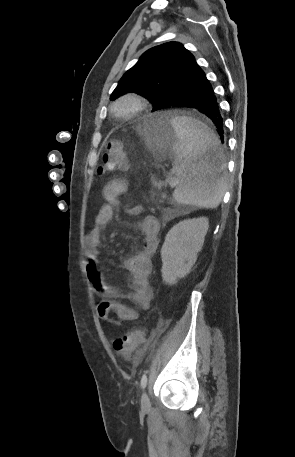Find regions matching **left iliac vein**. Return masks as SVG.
<instances>
[{
	"instance_id": "obj_1",
	"label": "left iliac vein",
	"mask_w": 295,
	"mask_h": 457,
	"mask_svg": "<svg viewBox=\"0 0 295 457\" xmlns=\"http://www.w3.org/2000/svg\"><path fill=\"white\" fill-rule=\"evenodd\" d=\"M149 403H150V401H149V397H148L147 393L143 392L141 395V406L143 408H146L149 406Z\"/></svg>"
}]
</instances>
